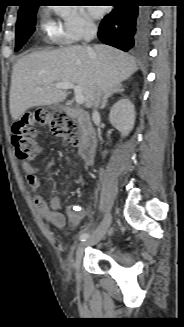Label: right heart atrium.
Returning a JSON list of instances; mask_svg holds the SVG:
<instances>
[{"label": "right heart atrium", "instance_id": "obj_1", "mask_svg": "<svg viewBox=\"0 0 184 327\" xmlns=\"http://www.w3.org/2000/svg\"><path fill=\"white\" fill-rule=\"evenodd\" d=\"M95 25L87 13L77 6L62 7L57 21H51V39L62 45H72L92 36Z\"/></svg>", "mask_w": 184, "mask_h": 327}]
</instances>
